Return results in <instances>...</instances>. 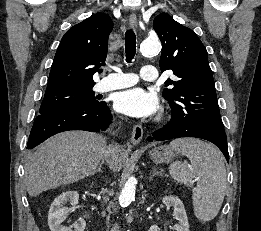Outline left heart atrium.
Wrapping results in <instances>:
<instances>
[{"mask_svg": "<svg viewBox=\"0 0 261 231\" xmlns=\"http://www.w3.org/2000/svg\"><path fill=\"white\" fill-rule=\"evenodd\" d=\"M115 109L134 117H149L159 109L156 94L141 87H134L120 92L114 102Z\"/></svg>", "mask_w": 261, "mask_h": 231, "instance_id": "obj_1", "label": "left heart atrium"}]
</instances>
